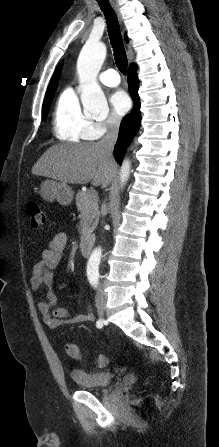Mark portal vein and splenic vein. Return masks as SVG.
Instances as JSON below:
<instances>
[{"label": "portal vein and splenic vein", "mask_w": 219, "mask_h": 447, "mask_svg": "<svg viewBox=\"0 0 219 447\" xmlns=\"http://www.w3.org/2000/svg\"><path fill=\"white\" fill-rule=\"evenodd\" d=\"M91 195L95 197L96 196V192L92 190L91 191Z\"/></svg>", "instance_id": "18ae733b"}]
</instances>
